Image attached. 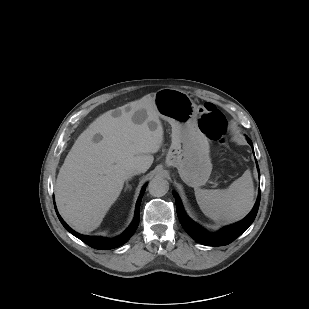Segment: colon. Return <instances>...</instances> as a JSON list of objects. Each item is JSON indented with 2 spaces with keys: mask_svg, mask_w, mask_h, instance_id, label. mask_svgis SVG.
<instances>
[{
  "mask_svg": "<svg viewBox=\"0 0 309 309\" xmlns=\"http://www.w3.org/2000/svg\"><path fill=\"white\" fill-rule=\"evenodd\" d=\"M199 129L212 140L226 143V122L224 115L212 103L198 105Z\"/></svg>",
  "mask_w": 309,
  "mask_h": 309,
  "instance_id": "5ec220e1",
  "label": "colon"
}]
</instances>
